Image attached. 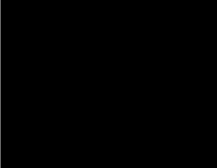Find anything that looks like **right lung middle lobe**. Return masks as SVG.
Returning <instances> with one entry per match:
<instances>
[{
	"label": "right lung middle lobe",
	"mask_w": 217,
	"mask_h": 168,
	"mask_svg": "<svg viewBox=\"0 0 217 168\" xmlns=\"http://www.w3.org/2000/svg\"><path fill=\"white\" fill-rule=\"evenodd\" d=\"M77 68H78V63H77ZM75 77V73H73L72 75H71V78L73 79Z\"/></svg>",
	"instance_id": "right-lung-middle-lobe-1"
}]
</instances>
